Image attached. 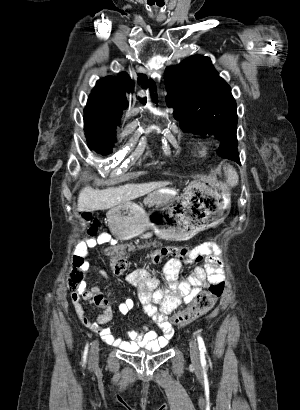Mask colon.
Here are the masks:
<instances>
[{
  "instance_id": "colon-1",
  "label": "colon",
  "mask_w": 300,
  "mask_h": 410,
  "mask_svg": "<svg viewBox=\"0 0 300 410\" xmlns=\"http://www.w3.org/2000/svg\"><path fill=\"white\" fill-rule=\"evenodd\" d=\"M83 216L86 219L90 218L88 213H84ZM95 230L96 225L95 223H92L90 226V232L92 235L95 233ZM169 256L179 259L192 258L196 261L202 260L201 253L194 252V250L188 246L165 245L153 252L152 262L154 264H159ZM74 263L75 266L71 269L68 276V287L71 292L79 291L84 283V272L80 267L82 259L76 258ZM109 265L114 273L120 274L127 270L128 261L121 255L113 254L110 257ZM224 287V282H214L209 286L207 291L197 293L192 304L188 308L176 313L174 316L175 324L178 326L186 325L207 313L212 308L216 300L221 297Z\"/></svg>"
}]
</instances>
